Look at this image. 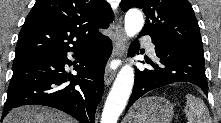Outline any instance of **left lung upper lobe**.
Instances as JSON below:
<instances>
[{"mask_svg": "<svg viewBox=\"0 0 221 123\" xmlns=\"http://www.w3.org/2000/svg\"><path fill=\"white\" fill-rule=\"evenodd\" d=\"M123 11L143 9L146 22L141 31L173 47L203 51L198 22L188 0H122Z\"/></svg>", "mask_w": 221, "mask_h": 123, "instance_id": "left-lung-upper-lobe-1", "label": "left lung upper lobe"}]
</instances>
